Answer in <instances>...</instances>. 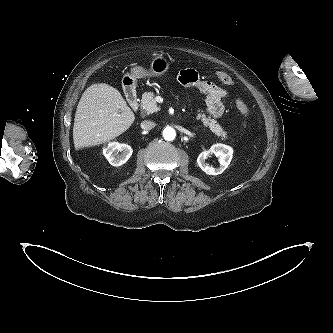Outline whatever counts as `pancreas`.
<instances>
[{"label":"pancreas","instance_id":"cf45deb5","mask_svg":"<svg viewBox=\"0 0 333 333\" xmlns=\"http://www.w3.org/2000/svg\"><path fill=\"white\" fill-rule=\"evenodd\" d=\"M155 94L153 92H145L142 95L141 108L147 115L152 114L159 110L156 101L154 100ZM197 118L201 119L204 126L209 127L210 130L222 140L228 139L227 133L224 129L217 124L215 119H211L210 116H206L201 110L197 111Z\"/></svg>","mask_w":333,"mask_h":333}]
</instances>
